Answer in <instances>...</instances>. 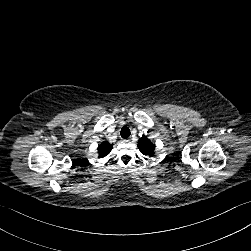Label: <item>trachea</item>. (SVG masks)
<instances>
[{
	"label": "trachea",
	"mask_w": 251,
	"mask_h": 251,
	"mask_svg": "<svg viewBox=\"0 0 251 251\" xmlns=\"http://www.w3.org/2000/svg\"><path fill=\"white\" fill-rule=\"evenodd\" d=\"M121 137L127 139L130 136V129L127 126L122 127L120 131Z\"/></svg>",
	"instance_id": "trachea-1"
}]
</instances>
